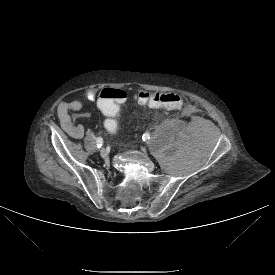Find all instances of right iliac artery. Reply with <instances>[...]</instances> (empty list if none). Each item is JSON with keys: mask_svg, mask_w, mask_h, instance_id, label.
Returning a JSON list of instances; mask_svg holds the SVG:
<instances>
[{"mask_svg": "<svg viewBox=\"0 0 275 275\" xmlns=\"http://www.w3.org/2000/svg\"><path fill=\"white\" fill-rule=\"evenodd\" d=\"M96 142H97V148H101V146L103 145V138L98 137L96 139Z\"/></svg>", "mask_w": 275, "mask_h": 275, "instance_id": "1", "label": "right iliac artery"}]
</instances>
